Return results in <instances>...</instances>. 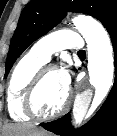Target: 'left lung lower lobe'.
Instances as JSON below:
<instances>
[{
    "label": "left lung lower lobe",
    "mask_w": 117,
    "mask_h": 136,
    "mask_svg": "<svg viewBox=\"0 0 117 136\" xmlns=\"http://www.w3.org/2000/svg\"><path fill=\"white\" fill-rule=\"evenodd\" d=\"M105 28L111 37L115 61V80L106 101L95 116L78 130L72 128L69 113L56 121L40 124L46 130L61 136L117 135V14L107 23Z\"/></svg>",
    "instance_id": "0a47b994"
}]
</instances>
